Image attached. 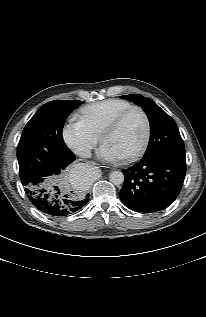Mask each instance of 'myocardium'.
<instances>
[{
	"label": "myocardium",
	"instance_id": "myocardium-1",
	"mask_svg": "<svg viewBox=\"0 0 206 317\" xmlns=\"http://www.w3.org/2000/svg\"><path fill=\"white\" fill-rule=\"evenodd\" d=\"M134 111H138L142 115V117L144 119V123H145V131H144V136H143V139H142L140 145L134 151L129 153L128 155L121 157V159L124 161H130V160L136 159L145 151V149L148 146V143H149L150 137H151V121H150L149 115L146 112V110L143 107L138 106V105H134V106L127 108L126 110L122 111L120 114L115 116L107 124V126L104 128V130L102 131V133L100 135V140L102 143H104L105 138L109 134H111L112 132L117 130L119 128V126L122 124V122L126 119V117Z\"/></svg>",
	"mask_w": 206,
	"mask_h": 317
}]
</instances>
